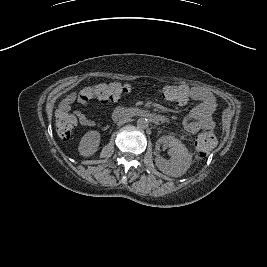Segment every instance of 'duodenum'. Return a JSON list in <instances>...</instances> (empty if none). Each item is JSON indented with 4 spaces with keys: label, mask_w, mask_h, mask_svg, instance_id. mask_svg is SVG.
<instances>
[{
    "label": "duodenum",
    "mask_w": 267,
    "mask_h": 267,
    "mask_svg": "<svg viewBox=\"0 0 267 267\" xmlns=\"http://www.w3.org/2000/svg\"><path fill=\"white\" fill-rule=\"evenodd\" d=\"M136 117L147 118L151 123L156 125H160L164 123L166 120L165 117L161 115H156L154 113L139 108H132V109L117 108L114 110L112 114L113 120L129 119Z\"/></svg>",
    "instance_id": "1"
}]
</instances>
